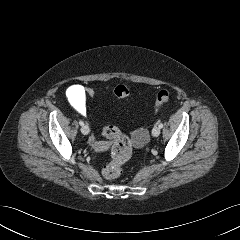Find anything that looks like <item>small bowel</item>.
<instances>
[{
  "instance_id": "1",
  "label": "small bowel",
  "mask_w": 240,
  "mask_h": 240,
  "mask_svg": "<svg viewBox=\"0 0 240 240\" xmlns=\"http://www.w3.org/2000/svg\"><path fill=\"white\" fill-rule=\"evenodd\" d=\"M67 99L70 105L81 115H85L86 107V93L85 88L81 85H71L66 91ZM148 139V133L145 129H138L133 133L132 140L136 147L143 146ZM90 145L96 151H106L110 147L107 141H98L94 137L89 139Z\"/></svg>"
}]
</instances>
